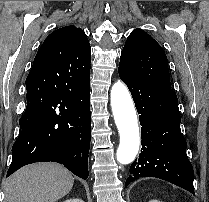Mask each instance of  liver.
Wrapping results in <instances>:
<instances>
[{"mask_svg": "<svg viewBox=\"0 0 209 202\" xmlns=\"http://www.w3.org/2000/svg\"><path fill=\"white\" fill-rule=\"evenodd\" d=\"M74 183L72 174L56 163H39L21 168L4 187V202H56Z\"/></svg>", "mask_w": 209, "mask_h": 202, "instance_id": "liver-1", "label": "liver"}]
</instances>
